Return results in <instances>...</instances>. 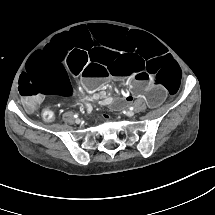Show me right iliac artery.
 Here are the masks:
<instances>
[{
	"label": "right iliac artery",
	"instance_id": "right-iliac-artery-1",
	"mask_svg": "<svg viewBox=\"0 0 215 215\" xmlns=\"http://www.w3.org/2000/svg\"><path fill=\"white\" fill-rule=\"evenodd\" d=\"M74 117H75V118H77V117H78V115H77V114H75V115H74Z\"/></svg>",
	"mask_w": 215,
	"mask_h": 215
}]
</instances>
